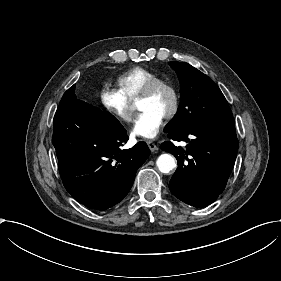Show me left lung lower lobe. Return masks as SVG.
Masks as SVG:
<instances>
[{"instance_id": "1", "label": "left lung lower lobe", "mask_w": 281, "mask_h": 281, "mask_svg": "<svg viewBox=\"0 0 281 281\" xmlns=\"http://www.w3.org/2000/svg\"><path fill=\"white\" fill-rule=\"evenodd\" d=\"M168 137L188 143L185 149L171 141L161 145L178 161L169 183L173 195L194 207L214 202L226 186L238 151L234 118L170 132Z\"/></svg>"}]
</instances>
